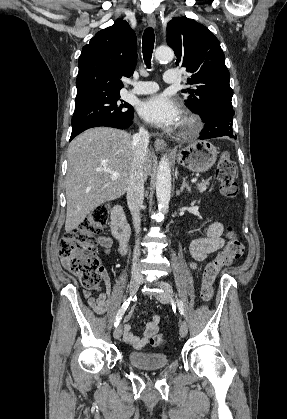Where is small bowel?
<instances>
[{
    "label": "small bowel",
    "mask_w": 287,
    "mask_h": 419,
    "mask_svg": "<svg viewBox=\"0 0 287 419\" xmlns=\"http://www.w3.org/2000/svg\"><path fill=\"white\" fill-rule=\"evenodd\" d=\"M224 228L220 223H211L205 228V237L194 240L190 245V254L192 256L191 266L196 268L197 263L205 260L208 254L220 250L224 244L223 238ZM99 244L109 251L113 241L109 237L100 236L98 238ZM65 267L68 266V262L63 260ZM101 275L106 285V291L102 292L98 297L92 296L86 292L84 297L87 300L90 308L97 314H104L111 309L109 303V288L110 279L107 272L102 269ZM130 314L125 317L124 322V339L125 341L136 350L142 349L151 339L153 335L158 332L159 325L161 323V316L155 314L150 322L147 323L145 331L142 337H138L133 333L132 325L129 323Z\"/></svg>",
    "instance_id": "1"
}]
</instances>
